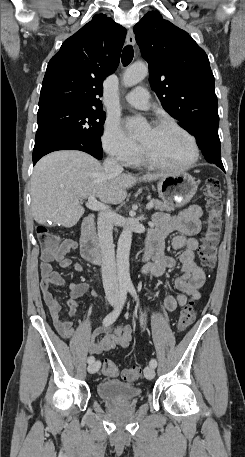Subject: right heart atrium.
<instances>
[{"label": "right heart atrium", "instance_id": "d8ad5b80", "mask_svg": "<svg viewBox=\"0 0 245 457\" xmlns=\"http://www.w3.org/2000/svg\"><path fill=\"white\" fill-rule=\"evenodd\" d=\"M106 151L124 163H130L137 155V146L122 130L118 121L107 120L102 137Z\"/></svg>", "mask_w": 245, "mask_h": 457}]
</instances>
